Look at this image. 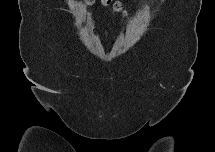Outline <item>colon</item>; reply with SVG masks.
Masks as SVG:
<instances>
[{"label": "colon", "mask_w": 215, "mask_h": 152, "mask_svg": "<svg viewBox=\"0 0 215 152\" xmlns=\"http://www.w3.org/2000/svg\"><path fill=\"white\" fill-rule=\"evenodd\" d=\"M105 6L111 7L114 13H121L122 15H126V12L123 10L122 6L118 2L111 1H102Z\"/></svg>", "instance_id": "5ec220e1"}]
</instances>
